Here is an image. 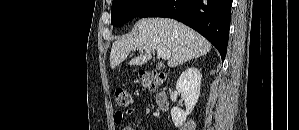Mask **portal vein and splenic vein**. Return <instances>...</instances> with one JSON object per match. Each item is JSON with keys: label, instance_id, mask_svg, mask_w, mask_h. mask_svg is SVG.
Masks as SVG:
<instances>
[{"label": "portal vein and splenic vein", "instance_id": "18ae733b", "mask_svg": "<svg viewBox=\"0 0 299 130\" xmlns=\"http://www.w3.org/2000/svg\"><path fill=\"white\" fill-rule=\"evenodd\" d=\"M158 57H161L163 60H168L171 56L170 52L167 49H158L157 50Z\"/></svg>", "mask_w": 299, "mask_h": 130}]
</instances>
